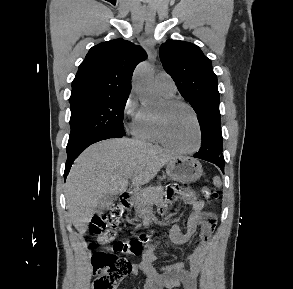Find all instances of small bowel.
Returning <instances> with one entry per match:
<instances>
[{
  "mask_svg": "<svg viewBox=\"0 0 293 289\" xmlns=\"http://www.w3.org/2000/svg\"><path fill=\"white\" fill-rule=\"evenodd\" d=\"M184 197L186 202L192 206V213L187 219L186 227L183 229L178 224H172L165 235L174 244L182 245L187 243L196 232L197 227H200L199 238L184 261L159 269L153 266L156 255L153 249H149L137 265V269L145 278L144 289H172L177 287L197 289L200 266L204 262L207 242L214 230L215 217L212 213L204 211L205 204L195 193L186 192Z\"/></svg>",
  "mask_w": 293,
  "mask_h": 289,
  "instance_id": "small-bowel-1",
  "label": "small bowel"
}]
</instances>
